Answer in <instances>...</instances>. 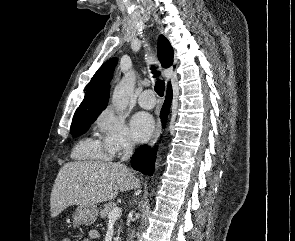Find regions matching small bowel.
Listing matches in <instances>:
<instances>
[{"label": "small bowel", "instance_id": "obj_1", "mask_svg": "<svg viewBox=\"0 0 295 241\" xmlns=\"http://www.w3.org/2000/svg\"><path fill=\"white\" fill-rule=\"evenodd\" d=\"M99 238V232L96 230H91L88 232L87 237H85L82 241H93ZM62 241H70L69 239H64Z\"/></svg>", "mask_w": 295, "mask_h": 241}]
</instances>
